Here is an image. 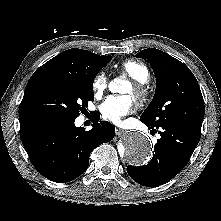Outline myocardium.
Returning a JSON list of instances; mask_svg holds the SVG:
<instances>
[{
  "label": "myocardium",
  "instance_id": "myocardium-1",
  "mask_svg": "<svg viewBox=\"0 0 221 221\" xmlns=\"http://www.w3.org/2000/svg\"><path fill=\"white\" fill-rule=\"evenodd\" d=\"M132 90H133L132 98L138 106H143L144 104L147 103L149 92L144 84L135 81L132 84Z\"/></svg>",
  "mask_w": 221,
  "mask_h": 221
}]
</instances>
